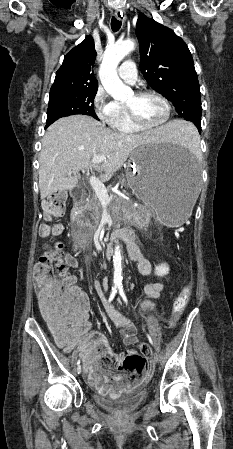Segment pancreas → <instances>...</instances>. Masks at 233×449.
<instances>
[{
    "mask_svg": "<svg viewBox=\"0 0 233 449\" xmlns=\"http://www.w3.org/2000/svg\"><path fill=\"white\" fill-rule=\"evenodd\" d=\"M84 210L90 212L92 228H96L104 214V208L95 194L89 195ZM109 210H111L115 216L121 217L123 215L124 218H129L134 226L140 228L147 227L153 217V212L149 208L145 206H138L135 208L125 199L118 196L112 198Z\"/></svg>",
    "mask_w": 233,
    "mask_h": 449,
    "instance_id": "obj_1",
    "label": "pancreas"
}]
</instances>
